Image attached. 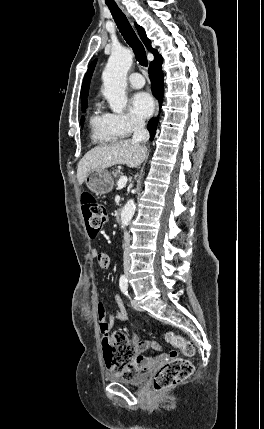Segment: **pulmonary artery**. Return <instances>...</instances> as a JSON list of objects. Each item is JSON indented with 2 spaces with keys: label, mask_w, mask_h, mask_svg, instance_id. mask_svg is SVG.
Segmentation results:
<instances>
[{
  "label": "pulmonary artery",
  "mask_w": 264,
  "mask_h": 429,
  "mask_svg": "<svg viewBox=\"0 0 264 429\" xmlns=\"http://www.w3.org/2000/svg\"><path fill=\"white\" fill-rule=\"evenodd\" d=\"M128 82L131 87L139 89L142 88L145 84L144 78L140 73H131L128 77Z\"/></svg>",
  "instance_id": "e3ab8cb5"
}]
</instances>
